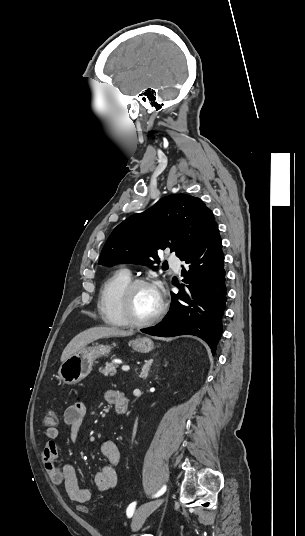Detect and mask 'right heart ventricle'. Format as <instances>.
<instances>
[{"instance_id":"1","label":"right heart ventricle","mask_w":305,"mask_h":536,"mask_svg":"<svg viewBox=\"0 0 305 536\" xmlns=\"http://www.w3.org/2000/svg\"><path fill=\"white\" fill-rule=\"evenodd\" d=\"M131 275L123 270L114 272L102 285L98 298V313L100 318L114 327L126 326L120 310V295Z\"/></svg>"}]
</instances>
